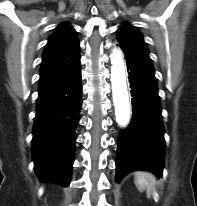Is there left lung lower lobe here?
Returning <instances> with one entry per match:
<instances>
[{"mask_svg": "<svg viewBox=\"0 0 197 206\" xmlns=\"http://www.w3.org/2000/svg\"><path fill=\"white\" fill-rule=\"evenodd\" d=\"M125 60L133 116L129 127L118 136L117 182L133 170H149L161 176L164 168V127L156 78L127 54Z\"/></svg>", "mask_w": 197, "mask_h": 206, "instance_id": "obj_1", "label": "left lung lower lobe"}]
</instances>
